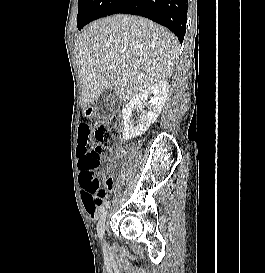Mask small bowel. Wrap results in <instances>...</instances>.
I'll list each match as a JSON object with an SVG mask.
<instances>
[{"mask_svg":"<svg viewBox=\"0 0 265 273\" xmlns=\"http://www.w3.org/2000/svg\"><path fill=\"white\" fill-rule=\"evenodd\" d=\"M86 118H89V115H86ZM79 129H95L96 125L95 124H79L78 125ZM115 157L119 158L123 155V151L121 150H115L114 151ZM79 161H80V156ZM110 179L113 183L112 178H107ZM106 194L105 196H99V195H94L89 192H84V208L85 211L87 212L88 215L91 217H94L96 211L98 208L102 206V204L105 202Z\"/></svg>","mask_w":265,"mask_h":273,"instance_id":"1","label":"small bowel"}]
</instances>
